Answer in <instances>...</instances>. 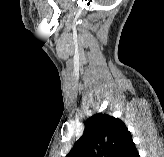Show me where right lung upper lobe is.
Masks as SVG:
<instances>
[{
    "mask_svg": "<svg viewBox=\"0 0 164 157\" xmlns=\"http://www.w3.org/2000/svg\"><path fill=\"white\" fill-rule=\"evenodd\" d=\"M132 140L126 125L108 114H95L66 157H119Z\"/></svg>",
    "mask_w": 164,
    "mask_h": 157,
    "instance_id": "1",
    "label": "right lung upper lobe"
}]
</instances>
